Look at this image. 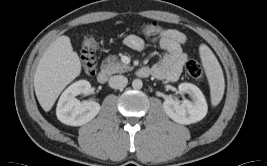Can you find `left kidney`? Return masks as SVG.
Returning a JSON list of instances; mask_svg holds the SVG:
<instances>
[{
  "instance_id": "5707ae66",
  "label": "left kidney",
  "mask_w": 267,
  "mask_h": 166,
  "mask_svg": "<svg viewBox=\"0 0 267 166\" xmlns=\"http://www.w3.org/2000/svg\"><path fill=\"white\" fill-rule=\"evenodd\" d=\"M180 93L189 94L193 101L168 98L163 102V109L167 116L180 124H191L202 120L207 114V102L201 90L191 83H181Z\"/></svg>"
}]
</instances>
